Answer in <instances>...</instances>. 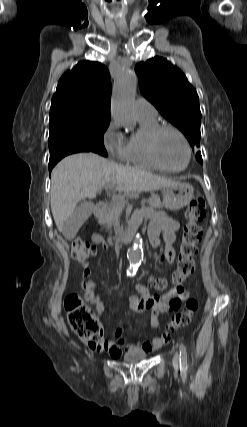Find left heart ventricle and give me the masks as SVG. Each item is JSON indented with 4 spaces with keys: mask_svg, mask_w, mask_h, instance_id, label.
Segmentation results:
<instances>
[{
    "mask_svg": "<svg viewBox=\"0 0 247 427\" xmlns=\"http://www.w3.org/2000/svg\"><path fill=\"white\" fill-rule=\"evenodd\" d=\"M160 160L167 167L181 168L187 159V152L180 137L172 131L163 132L157 142Z\"/></svg>",
    "mask_w": 247,
    "mask_h": 427,
    "instance_id": "1",
    "label": "left heart ventricle"
}]
</instances>
